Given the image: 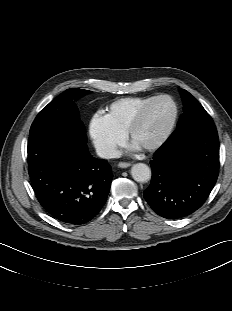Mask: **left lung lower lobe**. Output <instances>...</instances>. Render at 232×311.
I'll list each match as a JSON object with an SVG mask.
<instances>
[{"mask_svg":"<svg viewBox=\"0 0 232 311\" xmlns=\"http://www.w3.org/2000/svg\"><path fill=\"white\" fill-rule=\"evenodd\" d=\"M150 164L152 180L144 198L158 215L178 219L199 209L219 172V140L212 118L177 125Z\"/></svg>","mask_w":232,"mask_h":311,"instance_id":"obj_1","label":"left lung lower lobe"}]
</instances>
